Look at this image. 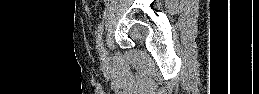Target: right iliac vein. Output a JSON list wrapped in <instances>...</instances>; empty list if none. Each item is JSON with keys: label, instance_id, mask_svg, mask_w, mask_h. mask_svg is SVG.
Returning a JSON list of instances; mask_svg holds the SVG:
<instances>
[{"label": "right iliac vein", "instance_id": "obj_1", "mask_svg": "<svg viewBox=\"0 0 259 94\" xmlns=\"http://www.w3.org/2000/svg\"><path fill=\"white\" fill-rule=\"evenodd\" d=\"M100 56L103 61L106 60L107 53L105 47L103 46V43H101Z\"/></svg>", "mask_w": 259, "mask_h": 94}]
</instances>
